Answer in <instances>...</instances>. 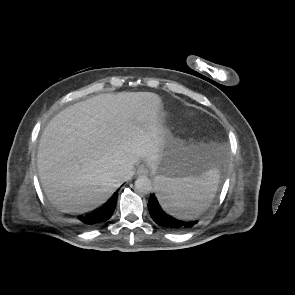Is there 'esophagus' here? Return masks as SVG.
I'll use <instances>...</instances> for the list:
<instances>
[{"instance_id":"obj_1","label":"esophagus","mask_w":295,"mask_h":295,"mask_svg":"<svg viewBox=\"0 0 295 295\" xmlns=\"http://www.w3.org/2000/svg\"><path fill=\"white\" fill-rule=\"evenodd\" d=\"M149 172L148 168L144 165L140 166L137 170L138 175H147Z\"/></svg>"}]
</instances>
